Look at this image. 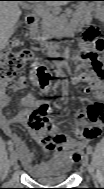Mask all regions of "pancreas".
Segmentation results:
<instances>
[{
    "label": "pancreas",
    "instance_id": "pancreas-1",
    "mask_svg": "<svg viewBox=\"0 0 104 189\" xmlns=\"http://www.w3.org/2000/svg\"><path fill=\"white\" fill-rule=\"evenodd\" d=\"M91 6L82 7L78 6L75 10L69 9L60 17H52L50 19L43 20L41 24V30L34 35V39L40 41L41 44H45L46 40L51 38H61L66 35V28L71 23L81 26L84 23H88L91 20L90 10ZM36 30H34V33Z\"/></svg>",
    "mask_w": 104,
    "mask_h": 189
}]
</instances>
